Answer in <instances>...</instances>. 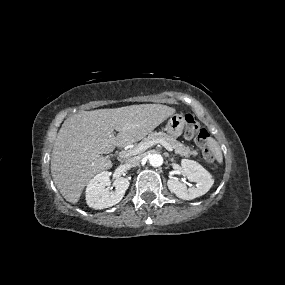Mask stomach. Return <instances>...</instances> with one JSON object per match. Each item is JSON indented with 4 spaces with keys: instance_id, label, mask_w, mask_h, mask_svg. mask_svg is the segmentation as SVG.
I'll list each match as a JSON object with an SVG mask.
<instances>
[{
    "instance_id": "1",
    "label": "stomach",
    "mask_w": 285,
    "mask_h": 285,
    "mask_svg": "<svg viewBox=\"0 0 285 285\" xmlns=\"http://www.w3.org/2000/svg\"><path fill=\"white\" fill-rule=\"evenodd\" d=\"M184 124L185 122L181 114H173L170 116L165 129L170 136L177 138L182 134Z\"/></svg>"
}]
</instances>
